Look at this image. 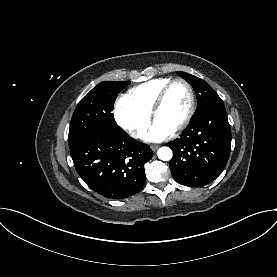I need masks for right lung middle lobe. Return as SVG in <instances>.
Here are the masks:
<instances>
[{
    "instance_id": "right-lung-middle-lobe-1",
    "label": "right lung middle lobe",
    "mask_w": 277,
    "mask_h": 277,
    "mask_svg": "<svg viewBox=\"0 0 277 277\" xmlns=\"http://www.w3.org/2000/svg\"><path fill=\"white\" fill-rule=\"evenodd\" d=\"M130 81H105L95 86L77 105L70 123L69 147L95 131L124 132L112 114L118 93Z\"/></svg>"
}]
</instances>
